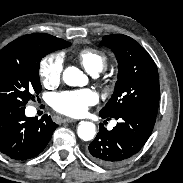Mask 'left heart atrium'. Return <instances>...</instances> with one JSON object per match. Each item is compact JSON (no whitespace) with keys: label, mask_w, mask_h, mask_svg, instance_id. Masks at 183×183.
<instances>
[{"label":"left heart atrium","mask_w":183,"mask_h":183,"mask_svg":"<svg viewBox=\"0 0 183 183\" xmlns=\"http://www.w3.org/2000/svg\"><path fill=\"white\" fill-rule=\"evenodd\" d=\"M97 94L91 89L63 91L53 95L52 107L60 114L78 117L96 104Z\"/></svg>","instance_id":"obj_1"}]
</instances>
